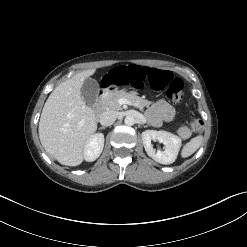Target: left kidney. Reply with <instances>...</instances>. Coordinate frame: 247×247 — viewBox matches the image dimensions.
I'll use <instances>...</instances> for the list:
<instances>
[{
    "mask_svg": "<svg viewBox=\"0 0 247 247\" xmlns=\"http://www.w3.org/2000/svg\"><path fill=\"white\" fill-rule=\"evenodd\" d=\"M152 140H157L164 145V151H156ZM142 141L148 156L161 164L173 163L181 147V139L167 131L145 130L142 132Z\"/></svg>",
    "mask_w": 247,
    "mask_h": 247,
    "instance_id": "obj_1",
    "label": "left kidney"
}]
</instances>
